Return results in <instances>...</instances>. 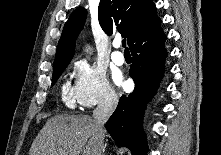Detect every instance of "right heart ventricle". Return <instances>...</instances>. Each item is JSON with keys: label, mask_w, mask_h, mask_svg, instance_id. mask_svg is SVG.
Masks as SVG:
<instances>
[{"label": "right heart ventricle", "mask_w": 221, "mask_h": 155, "mask_svg": "<svg viewBox=\"0 0 221 155\" xmlns=\"http://www.w3.org/2000/svg\"><path fill=\"white\" fill-rule=\"evenodd\" d=\"M62 101L68 108H74L77 102L74 87L69 82H65L62 87Z\"/></svg>", "instance_id": "right-heart-ventricle-1"}]
</instances>
